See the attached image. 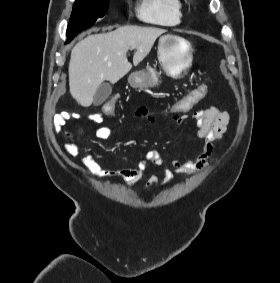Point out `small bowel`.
<instances>
[{"label":"small bowel","mask_w":280,"mask_h":283,"mask_svg":"<svg viewBox=\"0 0 280 283\" xmlns=\"http://www.w3.org/2000/svg\"><path fill=\"white\" fill-rule=\"evenodd\" d=\"M186 113L188 112H179L178 116H168L167 112H163L166 117L178 123L186 120L184 116ZM134 116L138 119H145L150 123H155L156 121V116L146 107L138 108ZM87 117L93 121L101 120V116L98 113H91ZM193 118L198 127L197 137L203 141V145L200 152L189 160L179 161L174 159L169 164H166L158 150H149L136 167L129 169L105 170L99 165L90 152L83 153V163L91 175L95 177L118 179L126 185H132L138 182L143 177L149 165L161 166L163 179L160 180L157 175H151L146 183L147 189L157 184L170 182L175 173L192 174L200 171L214 160V144L220 141L227 133L230 116L227 112L215 106H210L204 110L195 111ZM57 125L61 127L59 124ZM113 131L114 128L112 127L100 126L96 129L95 135L99 140L106 141L112 137ZM66 150L72 157H77L80 154L79 146L75 142H70Z\"/></svg>","instance_id":"1"}]
</instances>
